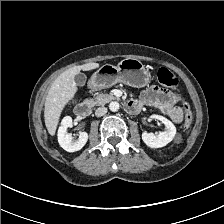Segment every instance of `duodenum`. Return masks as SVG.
I'll return each mask as SVG.
<instances>
[{
	"label": "duodenum",
	"instance_id": "obj_1",
	"mask_svg": "<svg viewBox=\"0 0 224 224\" xmlns=\"http://www.w3.org/2000/svg\"><path fill=\"white\" fill-rule=\"evenodd\" d=\"M91 107L90 101H84L75 106L74 112L78 117H86L90 114ZM124 107L125 110L131 114L137 113L140 109V105L134 100L125 102Z\"/></svg>",
	"mask_w": 224,
	"mask_h": 224
}]
</instances>
